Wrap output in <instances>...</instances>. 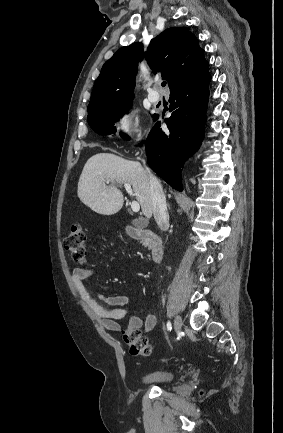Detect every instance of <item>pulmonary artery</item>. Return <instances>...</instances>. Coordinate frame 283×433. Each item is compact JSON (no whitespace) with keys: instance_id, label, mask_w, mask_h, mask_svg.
I'll return each mask as SVG.
<instances>
[{"instance_id":"e3ab8cb5","label":"pulmonary artery","mask_w":283,"mask_h":433,"mask_svg":"<svg viewBox=\"0 0 283 433\" xmlns=\"http://www.w3.org/2000/svg\"><path fill=\"white\" fill-rule=\"evenodd\" d=\"M148 100L152 103H158L161 100V96L153 93H148Z\"/></svg>"}]
</instances>
